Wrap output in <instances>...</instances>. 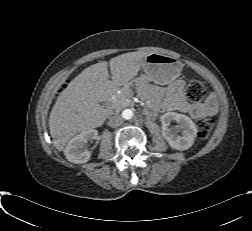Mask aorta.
Segmentation results:
<instances>
[{"label":"aorta","instance_id":"1","mask_svg":"<svg viewBox=\"0 0 252 231\" xmlns=\"http://www.w3.org/2000/svg\"><path fill=\"white\" fill-rule=\"evenodd\" d=\"M134 116V111L132 109H125L122 112V117L126 120L132 119Z\"/></svg>","mask_w":252,"mask_h":231}]
</instances>
